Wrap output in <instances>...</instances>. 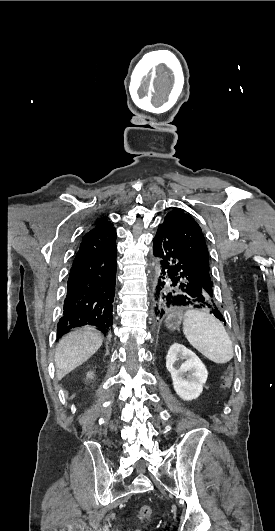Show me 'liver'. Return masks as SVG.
Listing matches in <instances>:
<instances>
[{
  "label": "liver",
  "instance_id": "1",
  "mask_svg": "<svg viewBox=\"0 0 275 531\" xmlns=\"http://www.w3.org/2000/svg\"><path fill=\"white\" fill-rule=\"evenodd\" d=\"M102 343L101 333L93 327L75 329L72 333L62 337L54 359L58 381L90 359L100 349Z\"/></svg>",
  "mask_w": 275,
  "mask_h": 531
}]
</instances>
